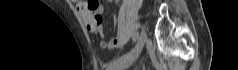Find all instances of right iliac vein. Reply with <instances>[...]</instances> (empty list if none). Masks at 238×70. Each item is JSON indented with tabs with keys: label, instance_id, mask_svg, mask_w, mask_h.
Masks as SVG:
<instances>
[{
	"label": "right iliac vein",
	"instance_id": "63e3f726",
	"mask_svg": "<svg viewBox=\"0 0 238 70\" xmlns=\"http://www.w3.org/2000/svg\"><path fill=\"white\" fill-rule=\"evenodd\" d=\"M145 41H146V34L143 31L141 33V36L139 38V41H138L136 47L131 52V54L128 57H126L124 60L120 61L115 67L112 68V70H125L129 66H131L134 63V61L138 58V56L140 55Z\"/></svg>",
	"mask_w": 238,
	"mask_h": 70
}]
</instances>
